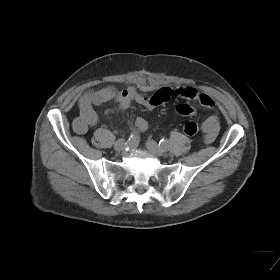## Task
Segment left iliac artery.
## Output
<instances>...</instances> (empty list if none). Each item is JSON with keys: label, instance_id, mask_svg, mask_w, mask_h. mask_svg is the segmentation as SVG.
Masks as SVG:
<instances>
[{"label": "left iliac artery", "instance_id": "obj_1", "mask_svg": "<svg viewBox=\"0 0 280 280\" xmlns=\"http://www.w3.org/2000/svg\"><path fill=\"white\" fill-rule=\"evenodd\" d=\"M159 144L164 148H168L170 145V141L168 139H162L160 140Z\"/></svg>", "mask_w": 280, "mask_h": 280}]
</instances>
